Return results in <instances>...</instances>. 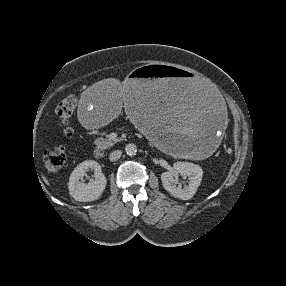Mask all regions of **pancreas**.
Here are the masks:
<instances>
[{
  "label": "pancreas",
  "mask_w": 286,
  "mask_h": 286,
  "mask_svg": "<svg viewBox=\"0 0 286 286\" xmlns=\"http://www.w3.org/2000/svg\"><path fill=\"white\" fill-rule=\"evenodd\" d=\"M119 139H112L108 138L106 140L104 139H96L94 141L95 145L100 149H106L108 147H111L113 144L117 143Z\"/></svg>",
  "instance_id": "1"
}]
</instances>
